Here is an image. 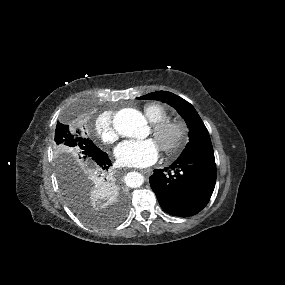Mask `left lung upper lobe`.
I'll list each match as a JSON object with an SVG mask.
<instances>
[{
  "instance_id": "obj_1",
  "label": "left lung upper lobe",
  "mask_w": 285,
  "mask_h": 285,
  "mask_svg": "<svg viewBox=\"0 0 285 285\" xmlns=\"http://www.w3.org/2000/svg\"><path fill=\"white\" fill-rule=\"evenodd\" d=\"M141 99H154L165 102L174 107L181 117L185 120L189 128L190 141L186 149L181 154L184 156L194 151L213 149L208 130L206 129L200 116L194 107L181 97L167 92L157 91L140 97ZM180 156V157H181Z\"/></svg>"
}]
</instances>
